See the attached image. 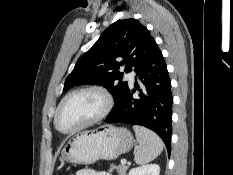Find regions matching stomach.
Wrapping results in <instances>:
<instances>
[{
	"instance_id": "1",
	"label": "stomach",
	"mask_w": 233,
	"mask_h": 175,
	"mask_svg": "<svg viewBox=\"0 0 233 175\" xmlns=\"http://www.w3.org/2000/svg\"><path fill=\"white\" fill-rule=\"evenodd\" d=\"M133 143L134 138L126 128L102 125L70 138L61 150V159L83 165L114 160L129 152Z\"/></svg>"
}]
</instances>
